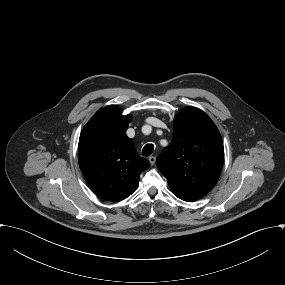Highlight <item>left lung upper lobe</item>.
Listing matches in <instances>:
<instances>
[{"instance_id":"1","label":"left lung upper lobe","mask_w":285,"mask_h":285,"mask_svg":"<svg viewBox=\"0 0 285 285\" xmlns=\"http://www.w3.org/2000/svg\"><path fill=\"white\" fill-rule=\"evenodd\" d=\"M224 162L221 135L200 109L187 107L174 118L172 142L156 164L178 198L193 202L217 183Z\"/></svg>"}]
</instances>
